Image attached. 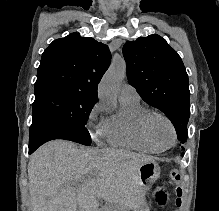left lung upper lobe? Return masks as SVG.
<instances>
[{"mask_svg": "<svg viewBox=\"0 0 219 211\" xmlns=\"http://www.w3.org/2000/svg\"><path fill=\"white\" fill-rule=\"evenodd\" d=\"M127 78L141 98L173 123L178 140H187L190 116L188 75L178 53L159 35L140 37L123 46Z\"/></svg>", "mask_w": 219, "mask_h": 211, "instance_id": "1", "label": "left lung upper lobe"}]
</instances>
